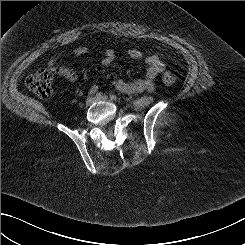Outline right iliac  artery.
I'll return each instance as SVG.
<instances>
[{
  "mask_svg": "<svg viewBox=\"0 0 245 245\" xmlns=\"http://www.w3.org/2000/svg\"><path fill=\"white\" fill-rule=\"evenodd\" d=\"M97 96H101V93H100V92H99V93H97V94H96V97H97Z\"/></svg>",
  "mask_w": 245,
  "mask_h": 245,
  "instance_id": "right-iliac-artery-1",
  "label": "right iliac artery"
}]
</instances>
